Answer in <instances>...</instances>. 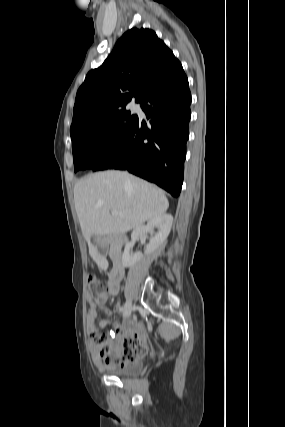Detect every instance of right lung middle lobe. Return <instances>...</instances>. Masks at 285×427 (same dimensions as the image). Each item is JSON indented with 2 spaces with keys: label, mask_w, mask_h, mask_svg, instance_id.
Segmentation results:
<instances>
[{
  "label": "right lung middle lobe",
  "mask_w": 285,
  "mask_h": 427,
  "mask_svg": "<svg viewBox=\"0 0 285 427\" xmlns=\"http://www.w3.org/2000/svg\"><path fill=\"white\" fill-rule=\"evenodd\" d=\"M138 120L125 108L72 131L74 170L93 169L127 138Z\"/></svg>",
  "instance_id": "obj_1"
}]
</instances>
